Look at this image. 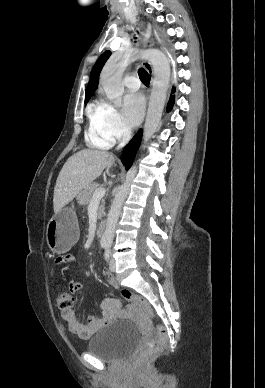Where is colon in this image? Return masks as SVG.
I'll use <instances>...</instances> for the list:
<instances>
[{
    "mask_svg": "<svg viewBox=\"0 0 265 388\" xmlns=\"http://www.w3.org/2000/svg\"><path fill=\"white\" fill-rule=\"evenodd\" d=\"M120 294L126 301H129L138 306L147 321H152L153 309L147 299L133 293L129 289H123ZM57 304L58 307L63 310L70 309L74 304V297L72 295V292L60 290L57 296ZM155 330L157 337L148 340L144 349H136L131 356L132 361L137 362L143 356L158 351L161 346L167 341L168 333L164 326L156 325Z\"/></svg>",
    "mask_w": 265,
    "mask_h": 388,
    "instance_id": "colon-1",
    "label": "colon"
}]
</instances>
